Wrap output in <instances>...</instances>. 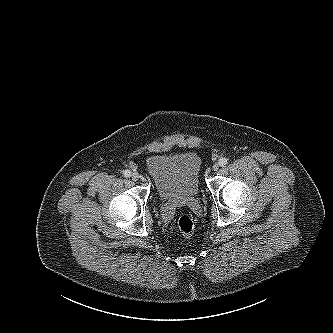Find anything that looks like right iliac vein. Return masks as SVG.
Listing matches in <instances>:
<instances>
[{
    "label": "right iliac vein",
    "instance_id": "right-iliac-vein-1",
    "mask_svg": "<svg viewBox=\"0 0 333 333\" xmlns=\"http://www.w3.org/2000/svg\"><path fill=\"white\" fill-rule=\"evenodd\" d=\"M131 178H132L133 181H137V180L139 179V174H138V172H133V173L131 174Z\"/></svg>",
    "mask_w": 333,
    "mask_h": 333
}]
</instances>
